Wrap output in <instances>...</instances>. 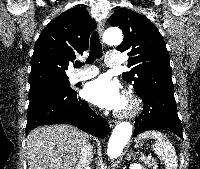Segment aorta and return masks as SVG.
I'll return each instance as SVG.
<instances>
[{"label":"aorta","mask_w":200,"mask_h":169,"mask_svg":"<svg viewBox=\"0 0 200 169\" xmlns=\"http://www.w3.org/2000/svg\"><path fill=\"white\" fill-rule=\"evenodd\" d=\"M103 40L107 45H119L123 40V35L119 29H109L105 32ZM132 132L133 126L127 121L119 123L114 128L107 147V155L110 159L120 156L130 140Z\"/></svg>","instance_id":"762f6f07"}]
</instances>
